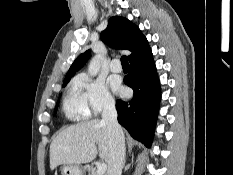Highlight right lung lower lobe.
I'll use <instances>...</instances> for the list:
<instances>
[{
  "mask_svg": "<svg viewBox=\"0 0 233 175\" xmlns=\"http://www.w3.org/2000/svg\"><path fill=\"white\" fill-rule=\"evenodd\" d=\"M124 83L134 90V96L131 101H117L118 122L134 139L150 146L161 97L151 50L130 61Z\"/></svg>",
  "mask_w": 233,
  "mask_h": 175,
  "instance_id": "1",
  "label": "right lung lower lobe"
}]
</instances>
